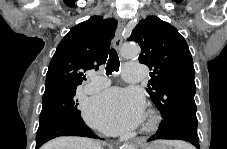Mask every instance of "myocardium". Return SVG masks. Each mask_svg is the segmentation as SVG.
I'll list each match as a JSON object with an SVG mask.
<instances>
[{
    "label": "myocardium",
    "mask_w": 227,
    "mask_h": 149,
    "mask_svg": "<svg viewBox=\"0 0 227 149\" xmlns=\"http://www.w3.org/2000/svg\"><path fill=\"white\" fill-rule=\"evenodd\" d=\"M160 120H161V117L156 111L154 110L149 111L148 119L143 127L144 131L146 132L154 131L159 125Z\"/></svg>",
    "instance_id": "myocardium-1"
}]
</instances>
